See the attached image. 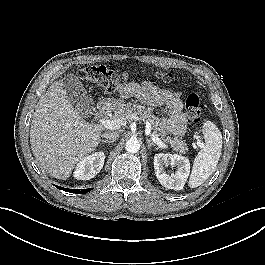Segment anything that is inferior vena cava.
Returning a JSON list of instances; mask_svg holds the SVG:
<instances>
[{
    "instance_id": "obj_1",
    "label": "inferior vena cava",
    "mask_w": 265,
    "mask_h": 265,
    "mask_svg": "<svg viewBox=\"0 0 265 265\" xmlns=\"http://www.w3.org/2000/svg\"><path fill=\"white\" fill-rule=\"evenodd\" d=\"M102 136L106 140H116L118 138L119 134L116 132H105Z\"/></svg>"
}]
</instances>
